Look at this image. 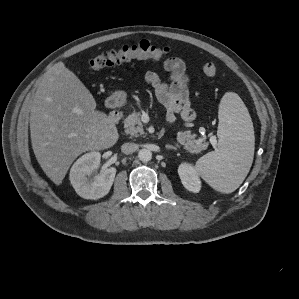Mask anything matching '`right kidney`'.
<instances>
[{"label":"right kidney","mask_w":299,"mask_h":299,"mask_svg":"<svg viewBox=\"0 0 299 299\" xmlns=\"http://www.w3.org/2000/svg\"><path fill=\"white\" fill-rule=\"evenodd\" d=\"M101 155L92 151L82 155L70 170V182L77 194L85 199L96 200L110 191L116 175V169L110 167L97 173Z\"/></svg>","instance_id":"ca27d5eb"}]
</instances>
